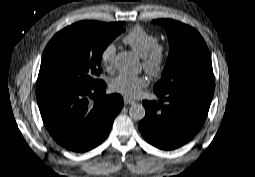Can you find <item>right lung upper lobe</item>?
<instances>
[{
    "label": "right lung upper lobe",
    "mask_w": 255,
    "mask_h": 177,
    "mask_svg": "<svg viewBox=\"0 0 255 177\" xmlns=\"http://www.w3.org/2000/svg\"><path fill=\"white\" fill-rule=\"evenodd\" d=\"M91 22H94V21H91ZM95 23H99V24H102L108 28H115L117 25H118V22L116 23H100V22H95Z\"/></svg>",
    "instance_id": "right-lung-upper-lobe-1"
}]
</instances>
